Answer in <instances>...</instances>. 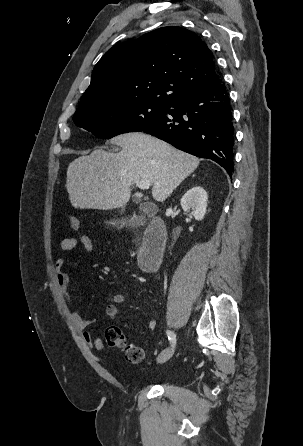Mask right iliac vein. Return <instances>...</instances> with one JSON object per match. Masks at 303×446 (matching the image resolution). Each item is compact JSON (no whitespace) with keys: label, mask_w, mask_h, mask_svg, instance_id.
Instances as JSON below:
<instances>
[{"label":"right iliac vein","mask_w":303,"mask_h":446,"mask_svg":"<svg viewBox=\"0 0 303 446\" xmlns=\"http://www.w3.org/2000/svg\"><path fill=\"white\" fill-rule=\"evenodd\" d=\"M174 351H175V345H173L170 348H166L158 356V358H157L158 363H164L167 360H169L172 357V355L174 354Z\"/></svg>","instance_id":"1"}]
</instances>
